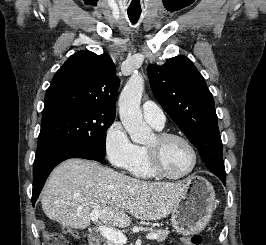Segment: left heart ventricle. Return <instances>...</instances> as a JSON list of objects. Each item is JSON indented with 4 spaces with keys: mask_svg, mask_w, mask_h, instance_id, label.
Masks as SVG:
<instances>
[{
    "mask_svg": "<svg viewBox=\"0 0 266 245\" xmlns=\"http://www.w3.org/2000/svg\"><path fill=\"white\" fill-rule=\"evenodd\" d=\"M146 147L157 154L162 169L169 175L182 176L192 166V151L186 143L179 139L173 138L159 142L154 135Z\"/></svg>",
    "mask_w": 266,
    "mask_h": 245,
    "instance_id": "obj_1",
    "label": "left heart ventricle"
}]
</instances>
